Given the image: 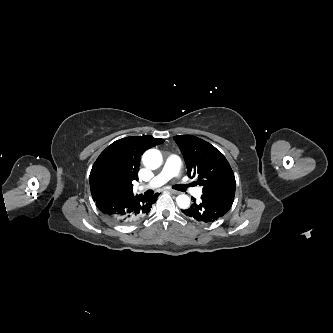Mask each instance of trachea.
<instances>
[{
    "mask_svg": "<svg viewBox=\"0 0 333 333\" xmlns=\"http://www.w3.org/2000/svg\"><path fill=\"white\" fill-rule=\"evenodd\" d=\"M186 187L187 186H185V185H174L172 188L175 190H178V191H185ZM147 193H148V195H151L152 191H147Z\"/></svg>",
    "mask_w": 333,
    "mask_h": 333,
    "instance_id": "obj_1",
    "label": "trachea"
}]
</instances>
